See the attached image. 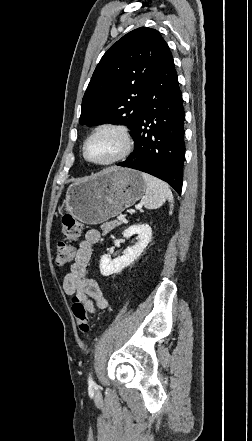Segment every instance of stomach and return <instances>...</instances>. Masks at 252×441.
Here are the masks:
<instances>
[{
	"mask_svg": "<svg viewBox=\"0 0 252 441\" xmlns=\"http://www.w3.org/2000/svg\"><path fill=\"white\" fill-rule=\"evenodd\" d=\"M145 191L139 171L111 167L71 184L60 209L65 207L78 221L96 225L121 214L140 200Z\"/></svg>",
	"mask_w": 252,
	"mask_h": 441,
	"instance_id": "stomach-1",
	"label": "stomach"
}]
</instances>
